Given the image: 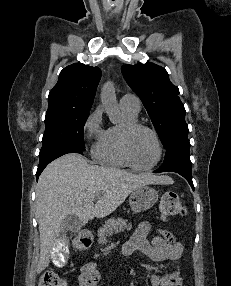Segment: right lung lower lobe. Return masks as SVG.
<instances>
[{
  "label": "right lung lower lobe",
  "instance_id": "98d812e1",
  "mask_svg": "<svg viewBox=\"0 0 231 286\" xmlns=\"http://www.w3.org/2000/svg\"><path fill=\"white\" fill-rule=\"evenodd\" d=\"M72 152L83 154L82 150L77 149L75 147H63V148L53 150V151L45 154L42 157H39L40 163H39V166L37 169L36 178L37 179L39 178V175L41 174V172L44 170V168L47 166L48 163H50L54 159H56V158H58L64 154L72 153Z\"/></svg>",
  "mask_w": 231,
  "mask_h": 286
}]
</instances>
